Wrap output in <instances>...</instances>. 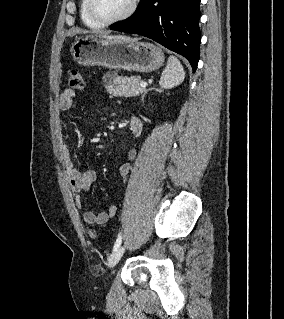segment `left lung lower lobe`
Masks as SVG:
<instances>
[{"mask_svg": "<svg viewBox=\"0 0 284 319\" xmlns=\"http://www.w3.org/2000/svg\"><path fill=\"white\" fill-rule=\"evenodd\" d=\"M200 0H141L135 13L110 29L143 35L184 56L196 71Z\"/></svg>", "mask_w": 284, "mask_h": 319, "instance_id": "0a47b994", "label": "left lung lower lobe"}]
</instances>
